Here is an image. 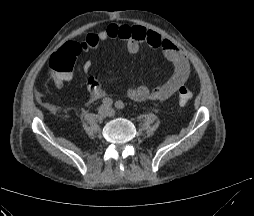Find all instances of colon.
I'll list each match as a JSON object with an SVG mask.
<instances>
[{
  "label": "colon",
  "mask_w": 254,
  "mask_h": 216,
  "mask_svg": "<svg viewBox=\"0 0 254 216\" xmlns=\"http://www.w3.org/2000/svg\"><path fill=\"white\" fill-rule=\"evenodd\" d=\"M74 54H77L82 51L80 44L73 45ZM49 71L55 74H64L71 72L73 69V60L65 52L61 51L55 54L52 57L50 63L48 64ZM178 102L181 105L187 104L192 98V91L186 87L182 86L178 90Z\"/></svg>",
  "instance_id": "1"
}]
</instances>
